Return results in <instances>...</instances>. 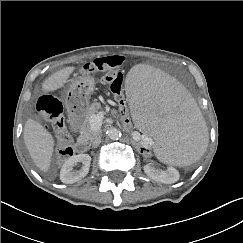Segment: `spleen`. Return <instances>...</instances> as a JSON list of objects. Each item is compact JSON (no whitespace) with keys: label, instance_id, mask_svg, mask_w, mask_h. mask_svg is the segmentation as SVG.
<instances>
[{"label":"spleen","instance_id":"obj_1","mask_svg":"<svg viewBox=\"0 0 243 243\" xmlns=\"http://www.w3.org/2000/svg\"><path fill=\"white\" fill-rule=\"evenodd\" d=\"M134 121L147 133L158 159L170 166L196 163L208 146V131L192 91L167 72L141 65L126 80Z\"/></svg>","mask_w":243,"mask_h":243}]
</instances>
